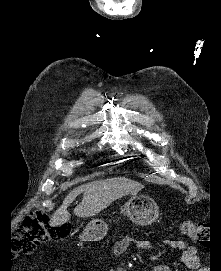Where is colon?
Wrapping results in <instances>:
<instances>
[{"label":"colon","mask_w":221,"mask_h":271,"mask_svg":"<svg viewBox=\"0 0 221 271\" xmlns=\"http://www.w3.org/2000/svg\"><path fill=\"white\" fill-rule=\"evenodd\" d=\"M68 232L67 226L53 224L46 210L35 209L24 217L22 225L13 237L12 248L16 253L27 254L38 244L57 240ZM182 232L198 244L207 245L211 241V233L205 223L185 220Z\"/></svg>","instance_id":"colon-1"}]
</instances>
